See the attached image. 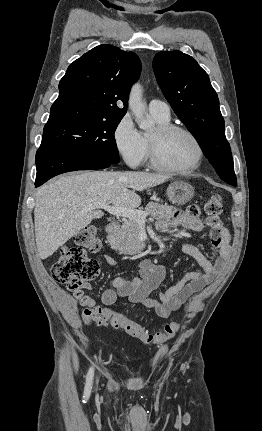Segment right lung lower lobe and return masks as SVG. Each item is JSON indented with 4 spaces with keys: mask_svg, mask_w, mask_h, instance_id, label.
Here are the masks:
<instances>
[{
    "mask_svg": "<svg viewBox=\"0 0 262 431\" xmlns=\"http://www.w3.org/2000/svg\"><path fill=\"white\" fill-rule=\"evenodd\" d=\"M109 163L94 155L61 147L40 146L36 153V182L42 185L64 172L107 168Z\"/></svg>",
    "mask_w": 262,
    "mask_h": 431,
    "instance_id": "98d812e1",
    "label": "right lung lower lobe"
}]
</instances>
